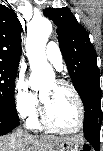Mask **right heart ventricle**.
<instances>
[{"instance_id": "e07e8e85", "label": "right heart ventricle", "mask_w": 103, "mask_h": 151, "mask_svg": "<svg viewBox=\"0 0 103 151\" xmlns=\"http://www.w3.org/2000/svg\"><path fill=\"white\" fill-rule=\"evenodd\" d=\"M28 124L33 129L43 128V124L37 114H35L33 117L29 118Z\"/></svg>"}]
</instances>
